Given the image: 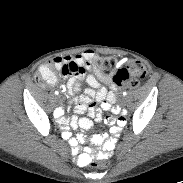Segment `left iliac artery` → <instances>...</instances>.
<instances>
[{
  "label": "left iliac artery",
  "mask_w": 183,
  "mask_h": 183,
  "mask_svg": "<svg viewBox=\"0 0 183 183\" xmlns=\"http://www.w3.org/2000/svg\"><path fill=\"white\" fill-rule=\"evenodd\" d=\"M127 95V92L125 91V92H123V96H126Z\"/></svg>",
  "instance_id": "44dca946"
}]
</instances>
